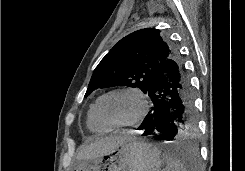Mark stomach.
I'll return each instance as SVG.
<instances>
[{
	"instance_id": "obj_1",
	"label": "stomach",
	"mask_w": 245,
	"mask_h": 171,
	"mask_svg": "<svg viewBox=\"0 0 245 171\" xmlns=\"http://www.w3.org/2000/svg\"><path fill=\"white\" fill-rule=\"evenodd\" d=\"M160 150L141 139L131 137L114 150L93 160L80 161L75 171H163Z\"/></svg>"
}]
</instances>
